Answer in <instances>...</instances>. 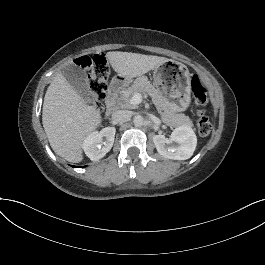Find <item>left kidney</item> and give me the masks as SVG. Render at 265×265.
<instances>
[{
	"instance_id": "obj_1",
	"label": "left kidney",
	"mask_w": 265,
	"mask_h": 265,
	"mask_svg": "<svg viewBox=\"0 0 265 265\" xmlns=\"http://www.w3.org/2000/svg\"><path fill=\"white\" fill-rule=\"evenodd\" d=\"M152 141L157 152L170 160L184 161L189 159L196 146L195 134L186 125L178 126L170 139L164 135H156Z\"/></svg>"
}]
</instances>
